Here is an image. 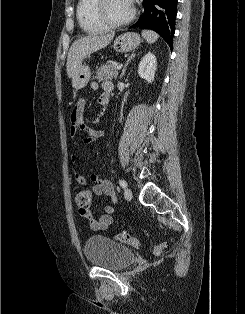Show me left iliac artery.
<instances>
[{"mask_svg":"<svg viewBox=\"0 0 245 314\" xmlns=\"http://www.w3.org/2000/svg\"><path fill=\"white\" fill-rule=\"evenodd\" d=\"M119 184L123 189L127 188V182L125 180L120 179Z\"/></svg>","mask_w":245,"mask_h":314,"instance_id":"1","label":"left iliac artery"}]
</instances>
